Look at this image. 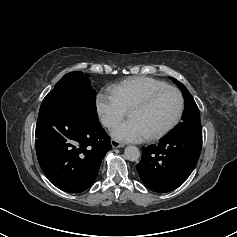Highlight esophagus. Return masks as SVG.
<instances>
[{
	"label": "esophagus",
	"instance_id": "34e87169",
	"mask_svg": "<svg viewBox=\"0 0 237 237\" xmlns=\"http://www.w3.org/2000/svg\"><path fill=\"white\" fill-rule=\"evenodd\" d=\"M111 144H112V147L113 148H121V147H124V144L117 141V140H111Z\"/></svg>",
	"mask_w": 237,
	"mask_h": 237
}]
</instances>
